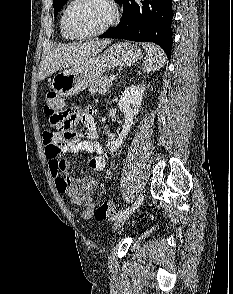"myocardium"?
Returning <instances> with one entry per match:
<instances>
[{
	"instance_id": "1",
	"label": "myocardium",
	"mask_w": 233,
	"mask_h": 294,
	"mask_svg": "<svg viewBox=\"0 0 233 294\" xmlns=\"http://www.w3.org/2000/svg\"><path fill=\"white\" fill-rule=\"evenodd\" d=\"M79 1L80 0H71L70 3L65 8L63 15H62V27H63L64 31L66 32V34L68 36H70L71 38L83 40V39H89V38H94V37L100 36V35L104 34L105 32H107L109 29H111L118 22L119 9H118L117 4L114 2V0H101V2H103L110 10V17H109L108 21L100 29L93 31L91 33H87V34L73 33L67 25V16H68L70 9Z\"/></svg>"
}]
</instances>
